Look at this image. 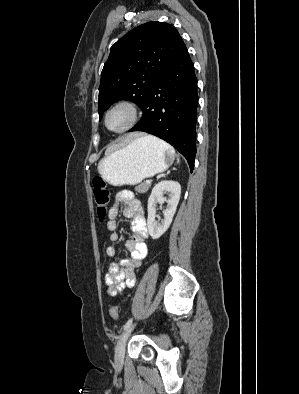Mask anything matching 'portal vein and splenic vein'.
Returning a JSON list of instances; mask_svg holds the SVG:
<instances>
[{
	"mask_svg": "<svg viewBox=\"0 0 299 394\" xmlns=\"http://www.w3.org/2000/svg\"><path fill=\"white\" fill-rule=\"evenodd\" d=\"M146 184H151V180L150 179L146 180Z\"/></svg>",
	"mask_w": 299,
	"mask_h": 394,
	"instance_id": "obj_1",
	"label": "portal vein and splenic vein"
}]
</instances>
